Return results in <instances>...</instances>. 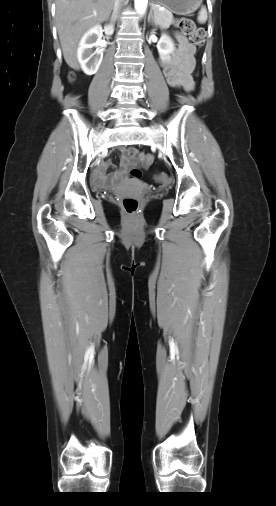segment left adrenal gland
I'll return each mask as SVG.
<instances>
[{"instance_id":"obj_1","label":"left adrenal gland","mask_w":276,"mask_h":506,"mask_svg":"<svg viewBox=\"0 0 276 506\" xmlns=\"http://www.w3.org/2000/svg\"><path fill=\"white\" fill-rule=\"evenodd\" d=\"M153 11H154V7L152 6L150 13H149V17H148V20L151 21L152 23L155 22V17H154Z\"/></svg>"}]
</instances>
